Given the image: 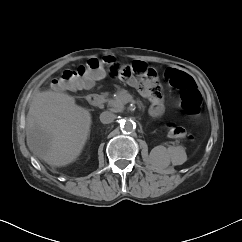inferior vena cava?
I'll list each match as a JSON object with an SVG mask.
<instances>
[{
  "label": "inferior vena cava",
  "instance_id": "inferior-vena-cava-1",
  "mask_svg": "<svg viewBox=\"0 0 242 242\" xmlns=\"http://www.w3.org/2000/svg\"><path fill=\"white\" fill-rule=\"evenodd\" d=\"M115 114L110 111H104L100 114V121L103 124H109L114 121Z\"/></svg>",
  "mask_w": 242,
  "mask_h": 242
}]
</instances>
